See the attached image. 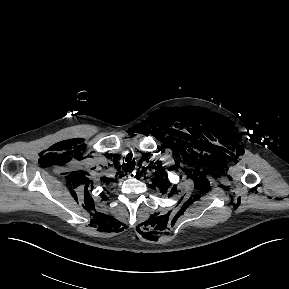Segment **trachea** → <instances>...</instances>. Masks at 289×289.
I'll return each mask as SVG.
<instances>
[{
	"label": "trachea",
	"mask_w": 289,
	"mask_h": 289,
	"mask_svg": "<svg viewBox=\"0 0 289 289\" xmlns=\"http://www.w3.org/2000/svg\"><path fill=\"white\" fill-rule=\"evenodd\" d=\"M126 162H127V164L125 165V167H124V171L125 172H131V171H133L134 170V167H135V163H134V161H131V155L130 154H128V156H127V158H126Z\"/></svg>",
	"instance_id": "trachea-1"
}]
</instances>
